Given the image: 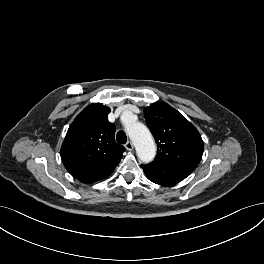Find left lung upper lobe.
I'll return each instance as SVG.
<instances>
[{
	"label": "left lung upper lobe",
	"instance_id": "obj_1",
	"mask_svg": "<svg viewBox=\"0 0 264 264\" xmlns=\"http://www.w3.org/2000/svg\"><path fill=\"white\" fill-rule=\"evenodd\" d=\"M144 116L157 143L154 161L194 171L204 148L197 129L181 113L163 102L146 107Z\"/></svg>",
	"mask_w": 264,
	"mask_h": 264
}]
</instances>
